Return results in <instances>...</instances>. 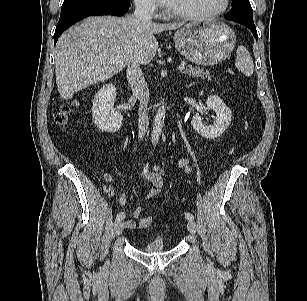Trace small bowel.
<instances>
[{
	"instance_id": "1",
	"label": "small bowel",
	"mask_w": 307,
	"mask_h": 301,
	"mask_svg": "<svg viewBox=\"0 0 307 301\" xmlns=\"http://www.w3.org/2000/svg\"><path fill=\"white\" fill-rule=\"evenodd\" d=\"M179 165L186 171H190V167L188 165V162L186 160H181L179 162ZM141 176L144 180L148 181L150 183V189L146 193L145 198L146 199H152L156 197L162 190H163V179H162V173L158 169L155 170H149L148 167L143 169ZM105 179L107 181H111V178L108 174L105 175ZM117 201L120 205L125 206L128 204V197L125 194H121L118 196ZM142 208L140 206H137L133 210V217L137 218L141 215ZM124 226L127 229H133L136 227V222L134 219H128L124 222Z\"/></svg>"
}]
</instances>
